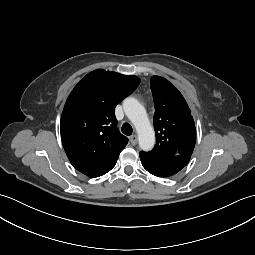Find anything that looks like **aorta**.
<instances>
[{
  "instance_id": "obj_1",
  "label": "aorta",
  "mask_w": 255,
  "mask_h": 255,
  "mask_svg": "<svg viewBox=\"0 0 255 255\" xmlns=\"http://www.w3.org/2000/svg\"><path fill=\"white\" fill-rule=\"evenodd\" d=\"M123 108L126 116L137 130L140 148L144 151H150L155 144V133L145 108L135 98H126L123 102Z\"/></svg>"
}]
</instances>
